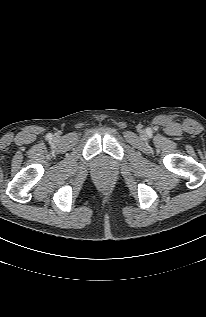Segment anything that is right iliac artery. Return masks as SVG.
<instances>
[{
	"instance_id": "obj_1",
	"label": "right iliac artery",
	"mask_w": 206,
	"mask_h": 317,
	"mask_svg": "<svg viewBox=\"0 0 206 317\" xmlns=\"http://www.w3.org/2000/svg\"><path fill=\"white\" fill-rule=\"evenodd\" d=\"M51 137H52V135H51V134H48V135H47V138H49V139H50Z\"/></svg>"
}]
</instances>
